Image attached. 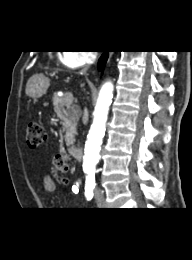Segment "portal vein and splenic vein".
<instances>
[{
	"label": "portal vein and splenic vein",
	"mask_w": 192,
	"mask_h": 260,
	"mask_svg": "<svg viewBox=\"0 0 192 260\" xmlns=\"http://www.w3.org/2000/svg\"><path fill=\"white\" fill-rule=\"evenodd\" d=\"M65 101L68 105H71L73 102V94L71 92H68L64 95Z\"/></svg>",
	"instance_id": "18ae733b"
}]
</instances>
